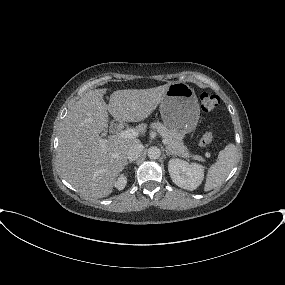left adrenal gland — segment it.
Instances as JSON below:
<instances>
[{
	"mask_svg": "<svg viewBox=\"0 0 285 285\" xmlns=\"http://www.w3.org/2000/svg\"><path fill=\"white\" fill-rule=\"evenodd\" d=\"M165 152H166V155L167 156H170V155H173L170 151H168L167 149L165 150Z\"/></svg>",
	"mask_w": 285,
	"mask_h": 285,
	"instance_id": "a2214340",
	"label": "left adrenal gland"
}]
</instances>
